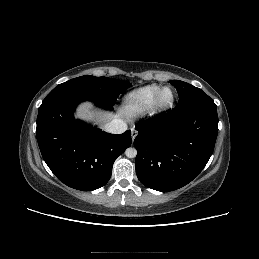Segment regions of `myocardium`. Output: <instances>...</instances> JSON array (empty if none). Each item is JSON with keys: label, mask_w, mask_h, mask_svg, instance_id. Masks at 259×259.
Masks as SVG:
<instances>
[{"label": "myocardium", "mask_w": 259, "mask_h": 259, "mask_svg": "<svg viewBox=\"0 0 259 259\" xmlns=\"http://www.w3.org/2000/svg\"><path fill=\"white\" fill-rule=\"evenodd\" d=\"M166 90L171 92V97L167 102H161V95ZM174 102H175L174 90L169 86H163L157 91L153 99V102L151 104L150 110L153 114H161L168 111L170 108H172Z\"/></svg>", "instance_id": "1"}]
</instances>
